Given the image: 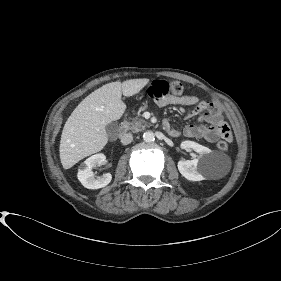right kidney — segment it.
<instances>
[{"label": "right kidney", "instance_id": "1", "mask_svg": "<svg viewBox=\"0 0 281 281\" xmlns=\"http://www.w3.org/2000/svg\"><path fill=\"white\" fill-rule=\"evenodd\" d=\"M106 156L102 153L95 154L84 161L80 166L77 177L81 184L87 189H99L107 186L111 180L110 173L95 177L92 169L105 163Z\"/></svg>", "mask_w": 281, "mask_h": 281}]
</instances>
